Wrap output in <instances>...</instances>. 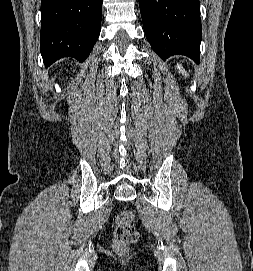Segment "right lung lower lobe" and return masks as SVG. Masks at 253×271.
<instances>
[{"label":"right lung lower lobe","mask_w":253,"mask_h":271,"mask_svg":"<svg viewBox=\"0 0 253 271\" xmlns=\"http://www.w3.org/2000/svg\"><path fill=\"white\" fill-rule=\"evenodd\" d=\"M102 0H41V54L45 67L63 57L83 62L100 34Z\"/></svg>","instance_id":"1"}]
</instances>
